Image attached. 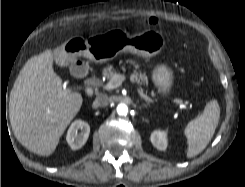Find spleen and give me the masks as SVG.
Returning a JSON list of instances; mask_svg holds the SVG:
<instances>
[{"label": "spleen", "mask_w": 245, "mask_h": 187, "mask_svg": "<svg viewBox=\"0 0 245 187\" xmlns=\"http://www.w3.org/2000/svg\"><path fill=\"white\" fill-rule=\"evenodd\" d=\"M220 118V107L217 100L209 101L203 113L191 120L184 129L187 138V158L201 153L212 139Z\"/></svg>", "instance_id": "3e777b00"}]
</instances>
